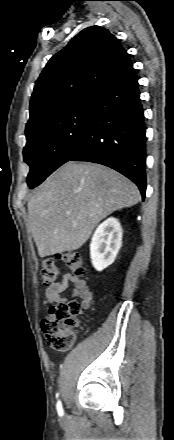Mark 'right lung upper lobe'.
Segmentation results:
<instances>
[{"mask_svg":"<svg viewBox=\"0 0 174 440\" xmlns=\"http://www.w3.org/2000/svg\"><path fill=\"white\" fill-rule=\"evenodd\" d=\"M132 67L119 40L91 26L78 33L48 61L36 81L26 128L71 102L93 94Z\"/></svg>","mask_w":174,"mask_h":440,"instance_id":"obj_1","label":"right lung upper lobe"}]
</instances>
